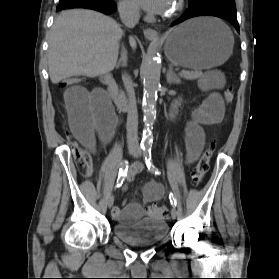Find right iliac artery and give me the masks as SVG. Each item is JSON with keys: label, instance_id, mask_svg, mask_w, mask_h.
Segmentation results:
<instances>
[{"label": "right iliac artery", "instance_id": "obj_1", "mask_svg": "<svg viewBox=\"0 0 279 279\" xmlns=\"http://www.w3.org/2000/svg\"><path fill=\"white\" fill-rule=\"evenodd\" d=\"M143 149H144V147H143ZM127 170H128V162L123 161L121 163V168L119 169V175H118V179H117L115 188H119L123 184L125 177L127 175Z\"/></svg>", "mask_w": 279, "mask_h": 279}]
</instances>
